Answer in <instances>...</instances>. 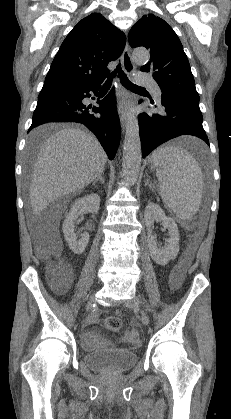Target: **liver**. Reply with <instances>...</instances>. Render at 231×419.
Returning <instances> with one entry per match:
<instances>
[{"label":"liver","mask_w":231,"mask_h":419,"mask_svg":"<svg viewBox=\"0 0 231 419\" xmlns=\"http://www.w3.org/2000/svg\"><path fill=\"white\" fill-rule=\"evenodd\" d=\"M49 128H36L30 138L39 139ZM107 159L93 135L77 128L58 130L41 146L34 164L29 189L33 213L38 215L55 199L83 190L104 171Z\"/></svg>","instance_id":"obj_1"}]
</instances>
